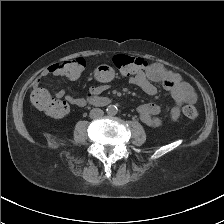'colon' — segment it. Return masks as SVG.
Segmentation results:
<instances>
[{
  "label": "colon",
  "mask_w": 224,
  "mask_h": 224,
  "mask_svg": "<svg viewBox=\"0 0 224 224\" xmlns=\"http://www.w3.org/2000/svg\"><path fill=\"white\" fill-rule=\"evenodd\" d=\"M114 66L123 74L131 76L144 72L149 64L140 57L128 55H115L113 57ZM86 67V61L83 58L68 59L58 64V70L61 76L74 80L77 79ZM31 100L33 105L54 118H61L68 112L66 102L52 97L49 92L44 89H36L32 92ZM182 115L190 121L197 119L199 113L192 104H185L182 107Z\"/></svg>",
  "instance_id": "1"
}]
</instances>
